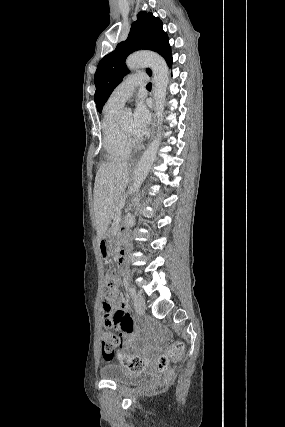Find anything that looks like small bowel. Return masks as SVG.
<instances>
[{"label":"small bowel","instance_id":"1","mask_svg":"<svg viewBox=\"0 0 285 427\" xmlns=\"http://www.w3.org/2000/svg\"><path fill=\"white\" fill-rule=\"evenodd\" d=\"M103 313V324L107 328L118 323L125 332V343L127 344L133 336L130 329V317L125 310V305L120 299L117 287H114L113 294L110 299H104L101 304Z\"/></svg>","mask_w":285,"mask_h":427}]
</instances>
